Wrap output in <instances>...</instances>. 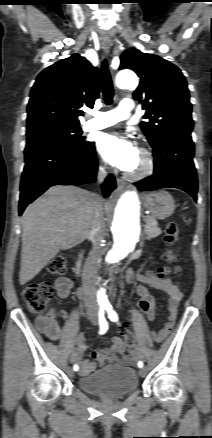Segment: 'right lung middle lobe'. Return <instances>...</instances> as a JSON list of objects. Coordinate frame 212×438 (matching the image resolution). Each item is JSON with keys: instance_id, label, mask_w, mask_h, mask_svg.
Segmentation results:
<instances>
[{"instance_id": "obj_1", "label": "right lung middle lobe", "mask_w": 212, "mask_h": 438, "mask_svg": "<svg viewBox=\"0 0 212 438\" xmlns=\"http://www.w3.org/2000/svg\"><path fill=\"white\" fill-rule=\"evenodd\" d=\"M81 133L80 127L45 125L28 129L26 135L27 143L36 141H50L66 146L83 147L89 144V142L81 141L84 139L83 137H80Z\"/></svg>"}]
</instances>
